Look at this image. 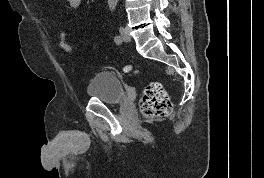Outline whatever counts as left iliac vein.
I'll return each instance as SVG.
<instances>
[{"label":"left iliac vein","instance_id":"1","mask_svg":"<svg viewBox=\"0 0 264 178\" xmlns=\"http://www.w3.org/2000/svg\"><path fill=\"white\" fill-rule=\"evenodd\" d=\"M120 36H121V40L124 42H129L131 39L127 30L123 27L120 28Z\"/></svg>","mask_w":264,"mask_h":178}]
</instances>
